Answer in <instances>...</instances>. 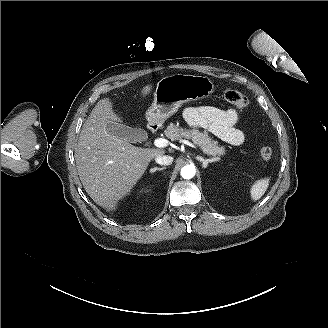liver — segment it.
<instances>
[{
  "mask_svg": "<svg viewBox=\"0 0 328 328\" xmlns=\"http://www.w3.org/2000/svg\"><path fill=\"white\" fill-rule=\"evenodd\" d=\"M154 85L140 90L144 102L152 94ZM108 122L125 123V117L114 106L109 96L102 98L82 127L75 150L76 167L80 180L91 199L107 213H116L120 202L131 195L149 164L165 149L140 148L124 138L108 135Z\"/></svg>",
  "mask_w": 328,
  "mask_h": 328,
  "instance_id": "1",
  "label": "liver"
}]
</instances>
